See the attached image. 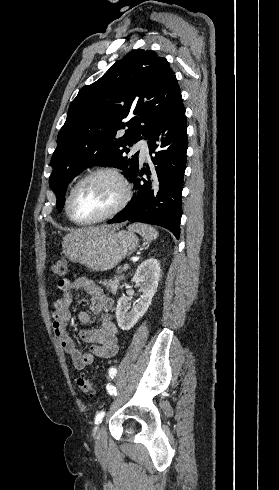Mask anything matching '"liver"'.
I'll use <instances>...</instances> for the list:
<instances>
[{"mask_svg": "<svg viewBox=\"0 0 279 490\" xmlns=\"http://www.w3.org/2000/svg\"><path fill=\"white\" fill-rule=\"evenodd\" d=\"M121 226V224H119ZM119 226H98V228H80V230H75L72 234L68 236H73L75 240L78 238H92V236H101V234H107V232H114L118 230Z\"/></svg>", "mask_w": 279, "mask_h": 490, "instance_id": "6515ba94", "label": "liver"}]
</instances>
